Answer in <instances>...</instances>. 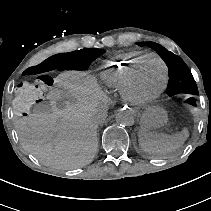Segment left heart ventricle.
<instances>
[{"instance_id":"left-heart-ventricle-1","label":"left heart ventricle","mask_w":211,"mask_h":211,"mask_svg":"<svg viewBox=\"0 0 211 211\" xmlns=\"http://www.w3.org/2000/svg\"><path fill=\"white\" fill-rule=\"evenodd\" d=\"M163 72L160 64L154 59H148L139 67L136 79L137 91L140 95L149 96L160 88Z\"/></svg>"}]
</instances>
